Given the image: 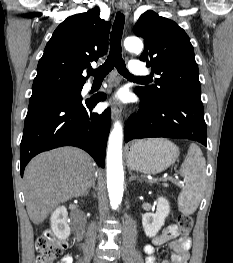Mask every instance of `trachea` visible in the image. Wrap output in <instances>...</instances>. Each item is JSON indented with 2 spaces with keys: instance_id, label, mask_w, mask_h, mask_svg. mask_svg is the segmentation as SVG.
Instances as JSON below:
<instances>
[{
  "instance_id": "3493384b",
  "label": "trachea",
  "mask_w": 233,
  "mask_h": 263,
  "mask_svg": "<svg viewBox=\"0 0 233 263\" xmlns=\"http://www.w3.org/2000/svg\"><path fill=\"white\" fill-rule=\"evenodd\" d=\"M125 23L124 14L118 12L112 27L110 34V53L104 64L98 67L96 70H89L88 73L93 75L95 79L104 78L114 67L118 72L127 79L134 81H149L148 77H135L129 73L126 68L125 62L122 59L121 39L123 34V28Z\"/></svg>"
}]
</instances>
